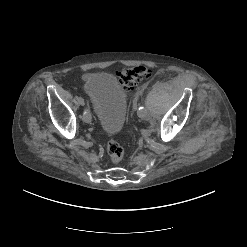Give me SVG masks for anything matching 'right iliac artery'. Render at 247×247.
<instances>
[{"mask_svg": "<svg viewBox=\"0 0 247 247\" xmlns=\"http://www.w3.org/2000/svg\"><path fill=\"white\" fill-rule=\"evenodd\" d=\"M78 102L82 108H85L87 106V102L82 97L79 98Z\"/></svg>", "mask_w": 247, "mask_h": 247, "instance_id": "82829eb1", "label": "right iliac artery"}]
</instances>
